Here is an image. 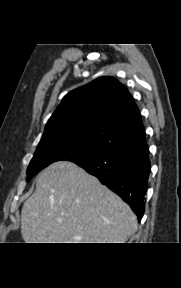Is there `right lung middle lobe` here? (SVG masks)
Masks as SVG:
<instances>
[{"instance_id": "1", "label": "right lung middle lobe", "mask_w": 181, "mask_h": 288, "mask_svg": "<svg viewBox=\"0 0 181 288\" xmlns=\"http://www.w3.org/2000/svg\"><path fill=\"white\" fill-rule=\"evenodd\" d=\"M105 151L107 149L104 146L82 137L41 140L27 169V181L53 162L71 161L76 158L98 155Z\"/></svg>"}]
</instances>
